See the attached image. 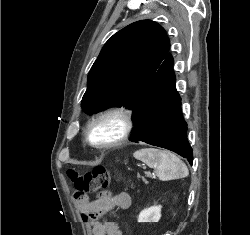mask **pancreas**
Here are the masks:
<instances>
[{"label": "pancreas", "mask_w": 250, "mask_h": 235, "mask_svg": "<svg viewBox=\"0 0 250 235\" xmlns=\"http://www.w3.org/2000/svg\"><path fill=\"white\" fill-rule=\"evenodd\" d=\"M143 181H144L145 183H147V181L145 180V178H143Z\"/></svg>", "instance_id": "1"}]
</instances>
